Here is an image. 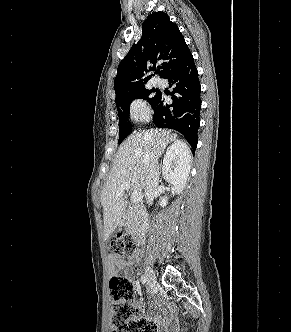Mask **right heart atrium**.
Masks as SVG:
<instances>
[{
    "instance_id": "obj_1",
    "label": "right heart atrium",
    "mask_w": 291,
    "mask_h": 332,
    "mask_svg": "<svg viewBox=\"0 0 291 332\" xmlns=\"http://www.w3.org/2000/svg\"><path fill=\"white\" fill-rule=\"evenodd\" d=\"M131 117L137 121H143L149 116V108L142 100H135L130 106Z\"/></svg>"
}]
</instances>
